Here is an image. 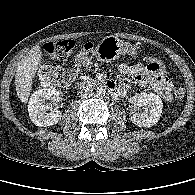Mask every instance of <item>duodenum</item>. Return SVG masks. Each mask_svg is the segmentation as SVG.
Wrapping results in <instances>:
<instances>
[{
  "label": "duodenum",
  "mask_w": 195,
  "mask_h": 195,
  "mask_svg": "<svg viewBox=\"0 0 195 195\" xmlns=\"http://www.w3.org/2000/svg\"><path fill=\"white\" fill-rule=\"evenodd\" d=\"M79 87L81 89H85L89 87H101L107 89L112 94H115L118 90L116 84L111 80H102V81L94 82L90 79H83L79 82Z\"/></svg>",
  "instance_id": "duodenum-1"
}]
</instances>
